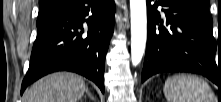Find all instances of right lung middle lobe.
I'll return each instance as SVG.
<instances>
[{
	"label": "right lung middle lobe",
	"mask_w": 221,
	"mask_h": 102,
	"mask_svg": "<svg viewBox=\"0 0 221 102\" xmlns=\"http://www.w3.org/2000/svg\"><path fill=\"white\" fill-rule=\"evenodd\" d=\"M60 8H47V9H40L38 14L37 23L43 21L47 17L53 15L57 12Z\"/></svg>",
	"instance_id": "right-lung-middle-lobe-1"
}]
</instances>
